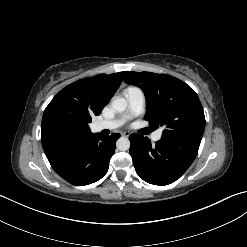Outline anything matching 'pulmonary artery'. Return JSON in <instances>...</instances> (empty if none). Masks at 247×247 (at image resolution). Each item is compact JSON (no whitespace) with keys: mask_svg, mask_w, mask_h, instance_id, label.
<instances>
[{"mask_svg":"<svg viewBox=\"0 0 247 247\" xmlns=\"http://www.w3.org/2000/svg\"><path fill=\"white\" fill-rule=\"evenodd\" d=\"M124 96L128 103L126 114L120 118L97 122L94 126L97 131L104 129H116L122 126L127 119L137 116L143 112L145 106V96L141 89L137 87H129L125 90ZM161 136L162 131L158 130L153 134L152 138L154 141H158Z\"/></svg>","mask_w":247,"mask_h":247,"instance_id":"obj_1","label":"pulmonary artery"}]
</instances>
